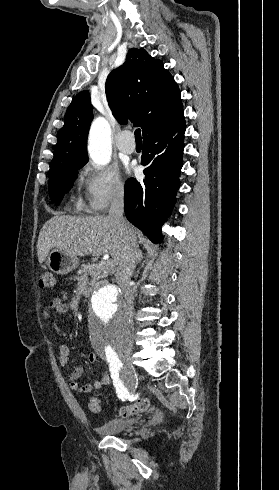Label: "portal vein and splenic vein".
<instances>
[{
	"mask_svg": "<svg viewBox=\"0 0 279 490\" xmlns=\"http://www.w3.org/2000/svg\"><path fill=\"white\" fill-rule=\"evenodd\" d=\"M104 260H107L106 264H108V266H114L113 262H110L108 254H106V256H104ZM101 264H104V262H101ZM101 264H100V266H101Z\"/></svg>",
	"mask_w": 279,
	"mask_h": 490,
	"instance_id": "obj_1",
	"label": "portal vein and splenic vein"
}]
</instances>
